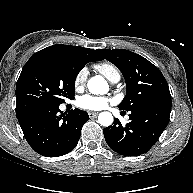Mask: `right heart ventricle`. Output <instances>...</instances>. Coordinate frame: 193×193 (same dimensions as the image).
Listing matches in <instances>:
<instances>
[{
  "mask_svg": "<svg viewBox=\"0 0 193 193\" xmlns=\"http://www.w3.org/2000/svg\"><path fill=\"white\" fill-rule=\"evenodd\" d=\"M95 69L104 75L111 82L115 79H120V71L118 68L109 62H102L95 65Z\"/></svg>",
  "mask_w": 193,
  "mask_h": 193,
  "instance_id": "right-heart-ventricle-1",
  "label": "right heart ventricle"
}]
</instances>
